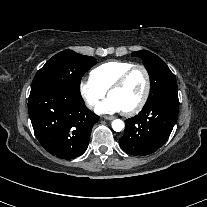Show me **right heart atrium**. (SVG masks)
<instances>
[{
    "instance_id": "1",
    "label": "right heart atrium",
    "mask_w": 207,
    "mask_h": 207,
    "mask_svg": "<svg viewBox=\"0 0 207 207\" xmlns=\"http://www.w3.org/2000/svg\"><path fill=\"white\" fill-rule=\"evenodd\" d=\"M106 91L91 76L82 79L79 83L80 95L89 108H93L105 96Z\"/></svg>"
}]
</instances>
